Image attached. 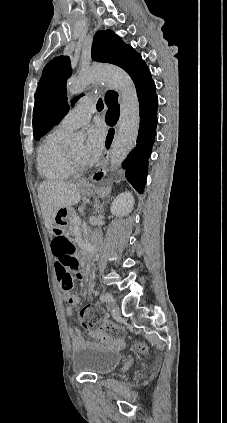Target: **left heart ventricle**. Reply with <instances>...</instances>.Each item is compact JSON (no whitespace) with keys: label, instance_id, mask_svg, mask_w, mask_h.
Returning a JSON list of instances; mask_svg holds the SVG:
<instances>
[{"label":"left heart ventricle","instance_id":"obj_1","mask_svg":"<svg viewBox=\"0 0 227 423\" xmlns=\"http://www.w3.org/2000/svg\"><path fill=\"white\" fill-rule=\"evenodd\" d=\"M71 151L75 157H77L80 161L83 162V152H84L83 144L76 145L74 148L71 149Z\"/></svg>","mask_w":227,"mask_h":423}]
</instances>
